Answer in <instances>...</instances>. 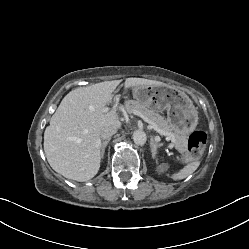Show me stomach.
I'll list each match as a JSON object with an SVG mask.
<instances>
[{"mask_svg": "<svg viewBox=\"0 0 249 249\" xmlns=\"http://www.w3.org/2000/svg\"><path fill=\"white\" fill-rule=\"evenodd\" d=\"M133 96L139 103L155 111L167 110L168 122L186 135L198 123V112L192 100L182 91L169 85L133 87Z\"/></svg>", "mask_w": 249, "mask_h": 249, "instance_id": "0dacf381", "label": "stomach"}]
</instances>
